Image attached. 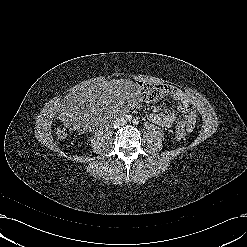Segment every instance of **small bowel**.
<instances>
[{"label": "small bowel", "instance_id": "c3829d8e", "mask_svg": "<svg viewBox=\"0 0 247 247\" xmlns=\"http://www.w3.org/2000/svg\"><path fill=\"white\" fill-rule=\"evenodd\" d=\"M147 84H143L142 87ZM157 87L159 91V96L154 100L147 101L153 102L161 96H170L177 103V109L183 115L182 120H177L169 112H153L148 115V119L161 127L174 129V130H185L186 132H191L196 123V113L195 108L191 100L178 88L167 85V84H150Z\"/></svg>", "mask_w": 247, "mask_h": 247}]
</instances>
